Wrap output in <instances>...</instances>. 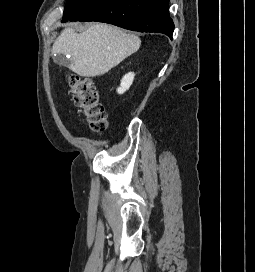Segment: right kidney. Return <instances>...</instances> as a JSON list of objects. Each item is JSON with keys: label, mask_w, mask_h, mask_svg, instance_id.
Returning <instances> with one entry per match:
<instances>
[{"label": "right kidney", "mask_w": 255, "mask_h": 272, "mask_svg": "<svg viewBox=\"0 0 255 272\" xmlns=\"http://www.w3.org/2000/svg\"><path fill=\"white\" fill-rule=\"evenodd\" d=\"M134 76L135 74L130 72L122 78L120 87L117 89L118 94H123L125 91H127L130 88V86L133 83Z\"/></svg>", "instance_id": "right-kidney-1"}]
</instances>
